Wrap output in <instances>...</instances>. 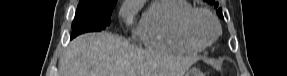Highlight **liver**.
<instances>
[{"label":"liver","instance_id":"liver-1","mask_svg":"<svg viewBox=\"0 0 287 76\" xmlns=\"http://www.w3.org/2000/svg\"><path fill=\"white\" fill-rule=\"evenodd\" d=\"M196 61L139 50L118 35L101 32L74 39L58 70L59 76H183Z\"/></svg>","mask_w":287,"mask_h":76}]
</instances>
